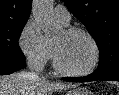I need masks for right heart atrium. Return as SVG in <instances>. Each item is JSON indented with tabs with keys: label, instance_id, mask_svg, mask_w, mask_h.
Listing matches in <instances>:
<instances>
[{
	"label": "right heart atrium",
	"instance_id": "1",
	"mask_svg": "<svg viewBox=\"0 0 119 95\" xmlns=\"http://www.w3.org/2000/svg\"><path fill=\"white\" fill-rule=\"evenodd\" d=\"M19 46L28 63L35 69H42L52 57V45L33 20L24 25L19 36Z\"/></svg>",
	"mask_w": 119,
	"mask_h": 95
}]
</instances>
